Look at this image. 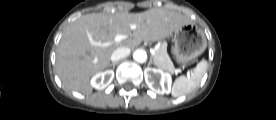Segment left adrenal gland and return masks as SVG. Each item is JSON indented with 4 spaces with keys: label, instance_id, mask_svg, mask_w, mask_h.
Returning <instances> with one entry per match:
<instances>
[{
    "label": "left adrenal gland",
    "instance_id": "obj_1",
    "mask_svg": "<svg viewBox=\"0 0 276 120\" xmlns=\"http://www.w3.org/2000/svg\"><path fill=\"white\" fill-rule=\"evenodd\" d=\"M154 64L153 60H152V56L150 57V61H149V65Z\"/></svg>",
    "mask_w": 276,
    "mask_h": 120
}]
</instances>
